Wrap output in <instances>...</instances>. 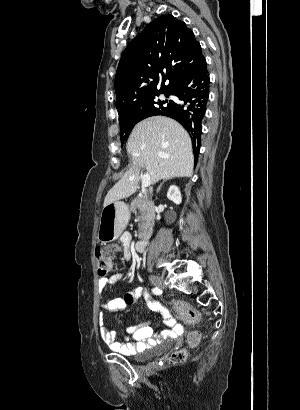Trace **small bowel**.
<instances>
[{
  "instance_id": "obj_1",
  "label": "small bowel",
  "mask_w": 300,
  "mask_h": 410,
  "mask_svg": "<svg viewBox=\"0 0 300 410\" xmlns=\"http://www.w3.org/2000/svg\"><path fill=\"white\" fill-rule=\"evenodd\" d=\"M121 242L124 247V256H127V248L129 246V238L124 235L121 237ZM122 277V274L117 272L110 276H101L98 281L99 289L102 291L107 285H112L118 282ZM138 299H144L150 310L159 314L163 319L167 330L163 331L161 335H156L152 326L149 323H142L136 326H130L126 328V334L130 336L125 342H119L116 339V333L106 327L104 317H99V334L102 341L108 345V347L122 355H131L143 351L155 345L158 340L167 337L176 336L179 333L178 323L171 317L169 311L164 308L153 297L148 295L142 288H134L127 293L124 299L116 298L111 300H102L99 304V308L102 311L110 313H121L126 307Z\"/></svg>"
}]
</instances>
